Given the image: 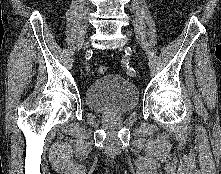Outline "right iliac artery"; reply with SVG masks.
Returning a JSON list of instances; mask_svg holds the SVG:
<instances>
[{
    "instance_id": "82829eb1",
    "label": "right iliac artery",
    "mask_w": 221,
    "mask_h": 174,
    "mask_svg": "<svg viewBox=\"0 0 221 174\" xmlns=\"http://www.w3.org/2000/svg\"><path fill=\"white\" fill-rule=\"evenodd\" d=\"M86 69H87V70H90V67H89V66H87V67H86Z\"/></svg>"
}]
</instances>
